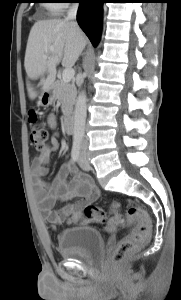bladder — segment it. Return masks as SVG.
<instances>
[{"mask_svg": "<svg viewBox=\"0 0 181 300\" xmlns=\"http://www.w3.org/2000/svg\"><path fill=\"white\" fill-rule=\"evenodd\" d=\"M58 247L61 256L68 260L91 261L101 255L104 238L93 227L74 226L60 233Z\"/></svg>", "mask_w": 181, "mask_h": 300, "instance_id": "31cf9c89", "label": "bladder"}]
</instances>
